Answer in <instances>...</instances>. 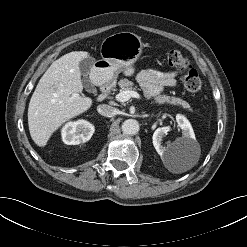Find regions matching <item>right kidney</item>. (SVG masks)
Instances as JSON below:
<instances>
[{
    "label": "right kidney",
    "instance_id": "obj_1",
    "mask_svg": "<svg viewBox=\"0 0 247 247\" xmlns=\"http://www.w3.org/2000/svg\"><path fill=\"white\" fill-rule=\"evenodd\" d=\"M94 126L86 120L68 122L61 131L62 140L67 145L84 143L92 137Z\"/></svg>",
    "mask_w": 247,
    "mask_h": 247
}]
</instances>
